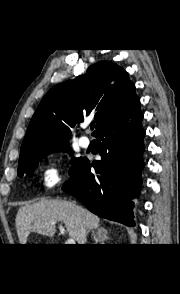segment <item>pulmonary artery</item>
<instances>
[{"label": "pulmonary artery", "mask_w": 180, "mask_h": 294, "mask_svg": "<svg viewBox=\"0 0 180 294\" xmlns=\"http://www.w3.org/2000/svg\"><path fill=\"white\" fill-rule=\"evenodd\" d=\"M90 142L91 140L86 136L80 138V145L84 148L88 147L90 145Z\"/></svg>", "instance_id": "obj_1"}]
</instances>
